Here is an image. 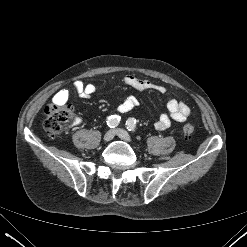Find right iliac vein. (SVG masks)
Listing matches in <instances>:
<instances>
[{"mask_svg":"<svg viewBox=\"0 0 247 247\" xmlns=\"http://www.w3.org/2000/svg\"><path fill=\"white\" fill-rule=\"evenodd\" d=\"M114 135H115V131L114 130H109L105 133L104 137H103V140L105 142H109L111 141L113 138H114Z\"/></svg>","mask_w":247,"mask_h":247,"instance_id":"obj_1","label":"right iliac vein"}]
</instances>
